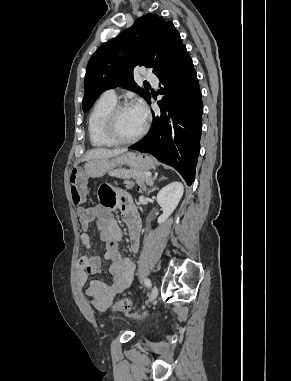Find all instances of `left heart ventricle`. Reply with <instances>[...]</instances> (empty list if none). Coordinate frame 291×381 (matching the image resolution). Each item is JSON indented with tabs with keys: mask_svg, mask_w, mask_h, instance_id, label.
Returning a JSON list of instances; mask_svg holds the SVG:
<instances>
[{
	"mask_svg": "<svg viewBox=\"0 0 291 381\" xmlns=\"http://www.w3.org/2000/svg\"><path fill=\"white\" fill-rule=\"evenodd\" d=\"M144 126L143 120L133 107L120 112L116 121V130L122 138H132L137 135Z\"/></svg>",
	"mask_w": 291,
	"mask_h": 381,
	"instance_id": "1",
	"label": "left heart ventricle"
}]
</instances>
